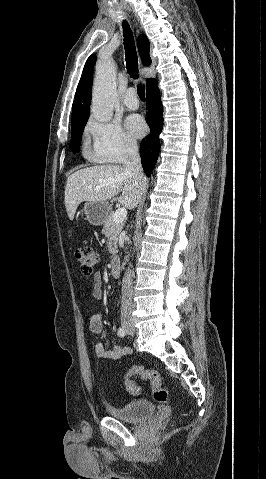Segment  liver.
<instances>
[{
    "label": "liver",
    "mask_w": 266,
    "mask_h": 479,
    "mask_svg": "<svg viewBox=\"0 0 266 479\" xmlns=\"http://www.w3.org/2000/svg\"><path fill=\"white\" fill-rule=\"evenodd\" d=\"M147 186V179L137 181L132 173L120 165H100L80 169L71 174L65 188V207L70 220L84 201H104L116 196L120 204L134 208Z\"/></svg>",
    "instance_id": "1"
}]
</instances>
